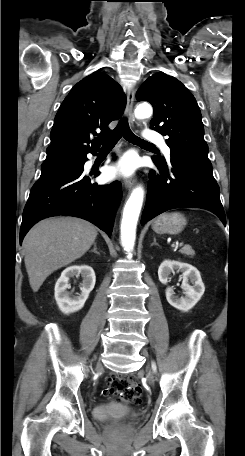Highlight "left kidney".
Returning a JSON list of instances; mask_svg holds the SVG:
<instances>
[{
  "mask_svg": "<svg viewBox=\"0 0 245 456\" xmlns=\"http://www.w3.org/2000/svg\"><path fill=\"white\" fill-rule=\"evenodd\" d=\"M175 270L182 272V289L184 290L185 296L178 298L175 296L174 290L169 287L166 289V299L171 306L180 311L187 312L196 305L204 294V283L202 282L200 272L195 267L188 263L170 260L163 261L159 266V281L162 284H166L170 274ZM189 281L193 286L189 284Z\"/></svg>",
  "mask_w": 245,
  "mask_h": 456,
  "instance_id": "left-kidney-1",
  "label": "left kidney"
}]
</instances>
